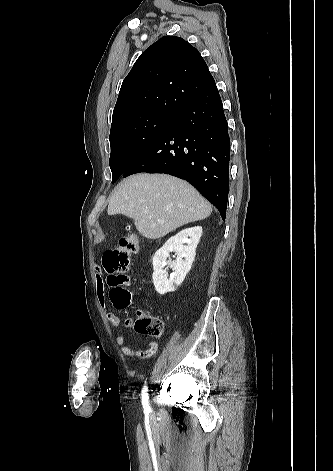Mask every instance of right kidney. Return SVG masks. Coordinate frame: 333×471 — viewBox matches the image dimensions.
Masks as SVG:
<instances>
[{"instance_id": "1", "label": "right kidney", "mask_w": 333, "mask_h": 471, "mask_svg": "<svg viewBox=\"0 0 333 471\" xmlns=\"http://www.w3.org/2000/svg\"><path fill=\"white\" fill-rule=\"evenodd\" d=\"M202 235V227L195 226L182 230L167 242L153 256V283L155 290L164 295L175 291L191 269L196 248ZM176 252V260L167 262L170 252ZM169 264L173 273L168 279L164 266Z\"/></svg>"}]
</instances>
